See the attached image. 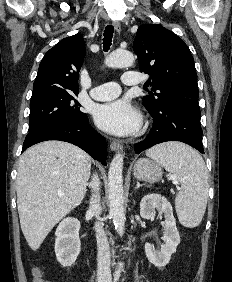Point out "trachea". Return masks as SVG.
<instances>
[{"label": "trachea", "instance_id": "trachea-1", "mask_svg": "<svg viewBox=\"0 0 232 282\" xmlns=\"http://www.w3.org/2000/svg\"><path fill=\"white\" fill-rule=\"evenodd\" d=\"M113 33H114V27L112 25H108L106 26L105 30H104V38H103V48L104 51L107 52L111 46V42H112V37H113Z\"/></svg>", "mask_w": 232, "mask_h": 282}]
</instances>
